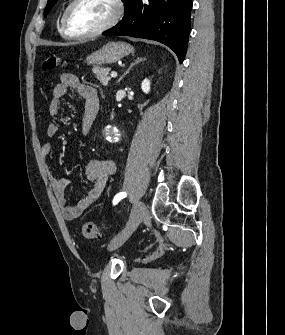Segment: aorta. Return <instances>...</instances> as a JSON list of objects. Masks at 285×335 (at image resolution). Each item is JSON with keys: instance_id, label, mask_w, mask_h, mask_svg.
I'll list each match as a JSON object with an SVG mask.
<instances>
[{"instance_id": "obj_1", "label": "aorta", "mask_w": 285, "mask_h": 335, "mask_svg": "<svg viewBox=\"0 0 285 335\" xmlns=\"http://www.w3.org/2000/svg\"><path fill=\"white\" fill-rule=\"evenodd\" d=\"M98 136L103 137L105 147H116L120 137L125 136V131L121 130L120 125H116L115 119H100Z\"/></svg>"}]
</instances>
